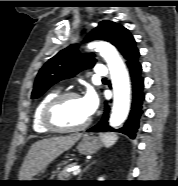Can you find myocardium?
<instances>
[{"label": "myocardium", "mask_w": 178, "mask_h": 186, "mask_svg": "<svg viewBox=\"0 0 178 186\" xmlns=\"http://www.w3.org/2000/svg\"><path fill=\"white\" fill-rule=\"evenodd\" d=\"M70 98L81 99V96L77 92H74V91L58 93L57 95L52 97L44 106L42 110V114H41V121H42V124L50 132L74 133V132H79V131L86 129L91 124L90 116L83 124L76 126V127L65 128V127H61L56 124V122L53 119V114H54L56 107L63 101L70 99Z\"/></svg>", "instance_id": "myocardium-1"}]
</instances>
